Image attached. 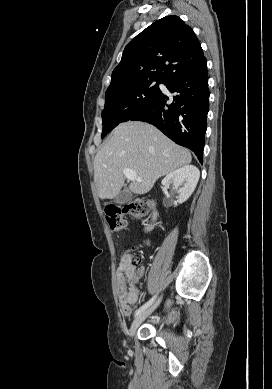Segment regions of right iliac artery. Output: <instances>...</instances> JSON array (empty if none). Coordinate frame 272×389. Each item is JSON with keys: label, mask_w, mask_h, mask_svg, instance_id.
<instances>
[{"label": "right iliac artery", "mask_w": 272, "mask_h": 389, "mask_svg": "<svg viewBox=\"0 0 272 389\" xmlns=\"http://www.w3.org/2000/svg\"><path fill=\"white\" fill-rule=\"evenodd\" d=\"M157 295H155L154 297H152L148 302H146L144 305H142L139 309H137L135 311V317L138 316L140 313H142L143 311H145L150 305H152V303L154 302L155 298H156Z\"/></svg>", "instance_id": "82829eb1"}]
</instances>
